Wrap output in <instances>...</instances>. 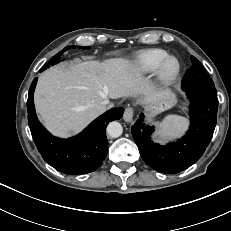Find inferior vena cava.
I'll return each mask as SVG.
<instances>
[{
	"mask_svg": "<svg viewBox=\"0 0 231 231\" xmlns=\"http://www.w3.org/2000/svg\"><path fill=\"white\" fill-rule=\"evenodd\" d=\"M109 103H110V102H109L108 99H105V100L101 101V103H100V108H101V110L104 111V110L107 108V105H108Z\"/></svg>",
	"mask_w": 231,
	"mask_h": 231,
	"instance_id": "inferior-vena-cava-1",
	"label": "inferior vena cava"
}]
</instances>
